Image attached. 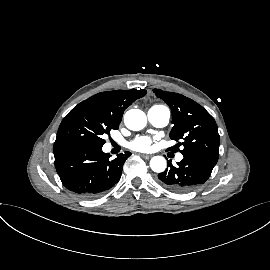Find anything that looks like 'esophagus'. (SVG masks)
<instances>
[{
  "label": "esophagus",
  "mask_w": 270,
  "mask_h": 270,
  "mask_svg": "<svg viewBox=\"0 0 270 270\" xmlns=\"http://www.w3.org/2000/svg\"><path fill=\"white\" fill-rule=\"evenodd\" d=\"M141 156L145 159H149L152 157V155H149V154H141Z\"/></svg>",
  "instance_id": "obj_1"
}]
</instances>
